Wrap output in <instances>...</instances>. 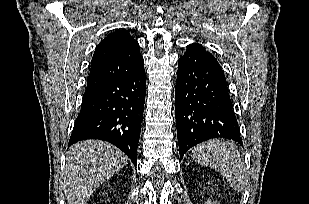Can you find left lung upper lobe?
I'll list each match as a JSON object with an SVG mask.
<instances>
[{"label": "left lung upper lobe", "mask_w": 309, "mask_h": 204, "mask_svg": "<svg viewBox=\"0 0 309 204\" xmlns=\"http://www.w3.org/2000/svg\"><path fill=\"white\" fill-rule=\"evenodd\" d=\"M189 47H193V48H198L202 51H204L208 56H210L211 58L215 59L214 56L212 54H210L208 51H206L201 45L199 44H196V43H193V44H190ZM216 60V59H215Z\"/></svg>", "instance_id": "1"}]
</instances>
